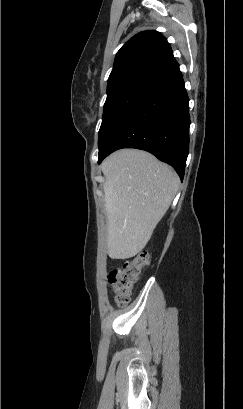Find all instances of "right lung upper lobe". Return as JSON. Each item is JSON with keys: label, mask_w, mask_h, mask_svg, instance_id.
I'll return each instance as SVG.
<instances>
[{"label": "right lung upper lobe", "mask_w": 243, "mask_h": 409, "mask_svg": "<svg viewBox=\"0 0 243 409\" xmlns=\"http://www.w3.org/2000/svg\"><path fill=\"white\" fill-rule=\"evenodd\" d=\"M178 66L166 38L157 31H143L118 51L108 86L137 76L162 80Z\"/></svg>", "instance_id": "1"}]
</instances>
